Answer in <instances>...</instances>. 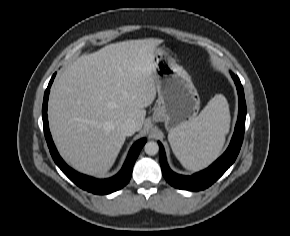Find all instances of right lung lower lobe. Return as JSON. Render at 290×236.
Masks as SVG:
<instances>
[{
    "mask_svg": "<svg viewBox=\"0 0 290 236\" xmlns=\"http://www.w3.org/2000/svg\"><path fill=\"white\" fill-rule=\"evenodd\" d=\"M55 74L52 76L49 85L44 94V101L42 106V117H43V126H44V134L50 149V154L57 164V166L62 170V172L77 186L80 188L92 192L94 194H109L115 192L121 188H123L130 180L132 175L133 165L139 155L140 150L146 143V138L140 139L137 141L128 154V157L121 169V171L108 179L98 180L83 174H80L73 169H71L60 157L58 154L55 145L52 141L51 134L48 127V119H47V102L50 92L51 84L54 80Z\"/></svg>",
    "mask_w": 290,
    "mask_h": 236,
    "instance_id": "obj_1",
    "label": "right lung lower lobe"
}]
</instances>
